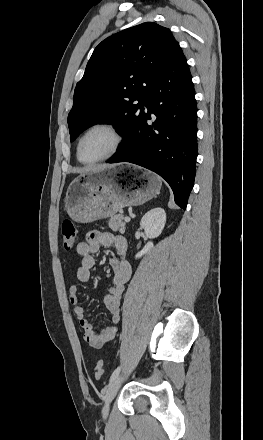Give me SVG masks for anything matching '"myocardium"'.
Returning <instances> with one entry per match:
<instances>
[{
    "instance_id": "1",
    "label": "myocardium",
    "mask_w": 263,
    "mask_h": 440,
    "mask_svg": "<svg viewBox=\"0 0 263 440\" xmlns=\"http://www.w3.org/2000/svg\"><path fill=\"white\" fill-rule=\"evenodd\" d=\"M99 128L106 129L111 132V134L114 137L113 147L105 156L100 157L96 160L85 161L80 156L81 143H82L84 137L89 132H91L94 129H99ZM123 141H124V135H123L122 131L120 130V128L116 124H114L113 122H110V121H98V122H95V123L89 125L79 136V138L77 140V144H76V155H77L78 160L83 164H86V165L97 164V163L106 161V160L110 159L111 157H113L120 150V148L123 144Z\"/></svg>"
}]
</instances>
